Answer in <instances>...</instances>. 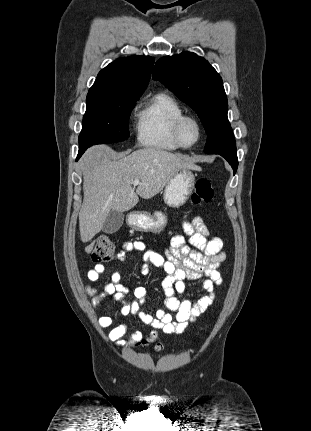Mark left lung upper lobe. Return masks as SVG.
Returning <instances> with one entry per match:
<instances>
[{"mask_svg": "<svg viewBox=\"0 0 311 431\" xmlns=\"http://www.w3.org/2000/svg\"><path fill=\"white\" fill-rule=\"evenodd\" d=\"M153 75L197 113L208 136L205 153L236 152L222 78L207 60L191 52L166 56Z\"/></svg>", "mask_w": 311, "mask_h": 431, "instance_id": "obj_1", "label": "left lung upper lobe"}]
</instances>
